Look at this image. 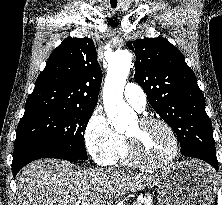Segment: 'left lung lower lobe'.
<instances>
[{
	"instance_id": "1",
	"label": "left lung lower lobe",
	"mask_w": 222,
	"mask_h": 205,
	"mask_svg": "<svg viewBox=\"0 0 222 205\" xmlns=\"http://www.w3.org/2000/svg\"><path fill=\"white\" fill-rule=\"evenodd\" d=\"M185 156L202 160L210 164L211 166H213L215 170L218 171V161L216 157H210V156H205V155H200V154H190V155H185Z\"/></svg>"
}]
</instances>
